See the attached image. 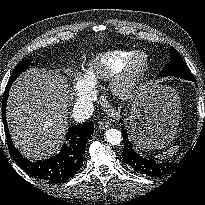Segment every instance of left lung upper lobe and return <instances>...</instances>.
<instances>
[{"label":"left lung upper lobe","instance_id":"obj_1","mask_svg":"<svg viewBox=\"0 0 205 205\" xmlns=\"http://www.w3.org/2000/svg\"><path fill=\"white\" fill-rule=\"evenodd\" d=\"M171 61L163 68L160 76H176L184 79L194 78L186 63L173 47H170Z\"/></svg>","mask_w":205,"mask_h":205}]
</instances>
